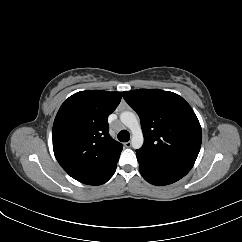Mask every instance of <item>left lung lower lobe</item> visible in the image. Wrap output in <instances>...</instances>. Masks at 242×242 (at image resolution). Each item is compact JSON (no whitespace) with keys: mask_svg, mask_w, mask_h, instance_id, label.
Here are the masks:
<instances>
[{"mask_svg":"<svg viewBox=\"0 0 242 242\" xmlns=\"http://www.w3.org/2000/svg\"><path fill=\"white\" fill-rule=\"evenodd\" d=\"M136 155L141 175L153 185L162 186L172 184L189 172L181 168L153 161L138 151H136Z\"/></svg>","mask_w":242,"mask_h":242,"instance_id":"left-lung-lower-lobe-1","label":"left lung lower lobe"}]
</instances>
